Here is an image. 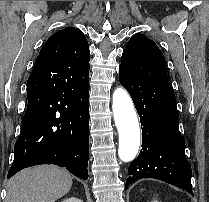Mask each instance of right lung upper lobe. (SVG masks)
<instances>
[{"mask_svg":"<svg viewBox=\"0 0 209 202\" xmlns=\"http://www.w3.org/2000/svg\"><path fill=\"white\" fill-rule=\"evenodd\" d=\"M89 45L77 28L68 27L54 33L43 45L36 61H51L56 73L81 85L89 77Z\"/></svg>","mask_w":209,"mask_h":202,"instance_id":"cb5924a9","label":"right lung upper lobe"}]
</instances>
